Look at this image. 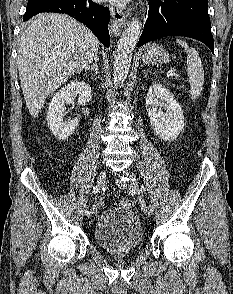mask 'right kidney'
I'll list each match as a JSON object with an SVG mask.
<instances>
[{"label": "right kidney", "mask_w": 233, "mask_h": 294, "mask_svg": "<svg viewBox=\"0 0 233 294\" xmlns=\"http://www.w3.org/2000/svg\"><path fill=\"white\" fill-rule=\"evenodd\" d=\"M91 87L83 81H72L62 87L52 98L47 113V122L52 134L59 140H66L72 135L79 124V118L63 122L65 105L74 102L79 96L78 103L86 105L91 100Z\"/></svg>", "instance_id": "ca27d5eb"}]
</instances>
